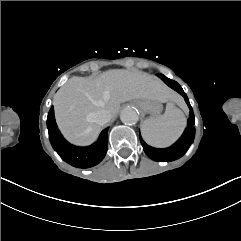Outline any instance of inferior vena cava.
Returning a JSON list of instances; mask_svg holds the SVG:
<instances>
[{
    "label": "inferior vena cava",
    "instance_id": "inferior-vena-cava-1",
    "mask_svg": "<svg viewBox=\"0 0 241 241\" xmlns=\"http://www.w3.org/2000/svg\"><path fill=\"white\" fill-rule=\"evenodd\" d=\"M86 120L89 123H96L98 125H104L111 120V114L109 111L100 109L96 112H90L86 116Z\"/></svg>",
    "mask_w": 241,
    "mask_h": 241
}]
</instances>
